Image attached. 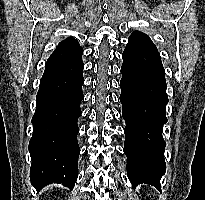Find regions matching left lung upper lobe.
Listing matches in <instances>:
<instances>
[{
  "instance_id": "1",
  "label": "left lung upper lobe",
  "mask_w": 205,
  "mask_h": 200,
  "mask_svg": "<svg viewBox=\"0 0 205 200\" xmlns=\"http://www.w3.org/2000/svg\"><path fill=\"white\" fill-rule=\"evenodd\" d=\"M145 35L144 33L140 32V31H134L131 36H142Z\"/></svg>"
}]
</instances>
